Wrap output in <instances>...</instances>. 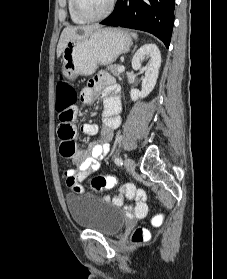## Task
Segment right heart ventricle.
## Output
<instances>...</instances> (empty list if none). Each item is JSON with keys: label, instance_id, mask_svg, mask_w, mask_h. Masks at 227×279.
<instances>
[{"label": "right heart ventricle", "instance_id": "1", "mask_svg": "<svg viewBox=\"0 0 227 279\" xmlns=\"http://www.w3.org/2000/svg\"><path fill=\"white\" fill-rule=\"evenodd\" d=\"M67 9H68V13L70 16V19L73 23L75 24H84L86 21L82 20L81 18H79L73 8V1L72 0H67Z\"/></svg>", "mask_w": 227, "mask_h": 279}]
</instances>
